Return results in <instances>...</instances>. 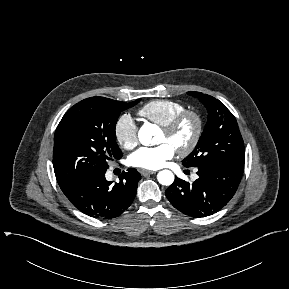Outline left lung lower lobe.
Segmentation results:
<instances>
[{
	"label": "left lung lower lobe",
	"mask_w": 289,
	"mask_h": 289,
	"mask_svg": "<svg viewBox=\"0 0 289 289\" xmlns=\"http://www.w3.org/2000/svg\"><path fill=\"white\" fill-rule=\"evenodd\" d=\"M244 167L236 163L212 162L198 166L199 178L192 184L175 179L166 189L170 203L182 213L206 217L223 208L234 196Z\"/></svg>",
	"instance_id": "obj_1"
}]
</instances>
